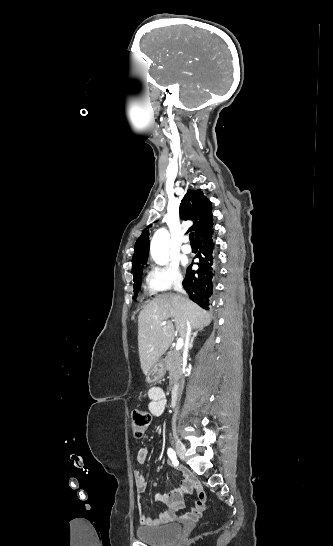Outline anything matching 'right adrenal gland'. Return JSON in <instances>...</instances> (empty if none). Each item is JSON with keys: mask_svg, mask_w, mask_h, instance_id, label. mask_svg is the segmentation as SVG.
Wrapping results in <instances>:
<instances>
[{"mask_svg": "<svg viewBox=\"0 0 333 546\" xmlns=\"http://www.w3.org/2000/svg\"><path fill=\"white\" fill-rule=\"evenodd\" d=\"M202 330H203V328H200V329H198L197 331H195L193 333V336L191 337V340H190L189 349H191L193 347L194 338L197 336L198 332L202 331Z\"/></svg>", "mask_w": 333, "mask_h": 546, "instance_id": "1", "label": "right adrenal gland"}]
</instances>
